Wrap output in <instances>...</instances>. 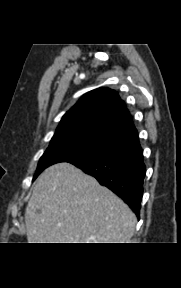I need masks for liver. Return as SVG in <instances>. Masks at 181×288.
Instances as JSON below:
<instances>
[{
    "instance_id": "1",
    "label": "liver",
    "mask_w": 181,
    "mask_h": 288,
    "mask_svg": "<svg viewBox=\"0 0 181 288\" xmlns=\"http://www.w3.org/2000/svg\"><path fill=\"white\" fill-rule=\"evenodd\" d=\"M25 223L29 243H126L136 216L94 177L57 163L38 177Z\"/></svg>"
}]
</instances>
